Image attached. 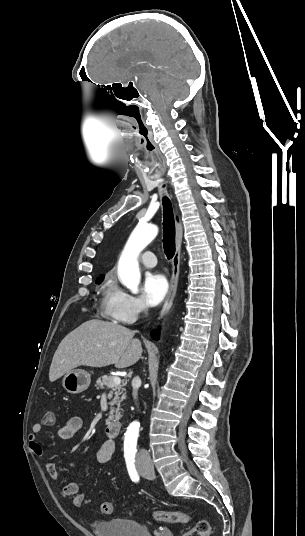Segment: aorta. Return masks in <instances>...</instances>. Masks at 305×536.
I'll return each mask as SVG.
<instances>
[{
	"label": "aorta",
	"mask_w": 305,
	"mask_h": 536,
	"mask_svg": "<svg viewBox=\"0 0 305 536\" xmlns=\"http://www.w3.org/2000/svg\"><path fill=\"white\" fill-rule=\"evenodd\" d=\"M158 227L153 224H139L130 235L118 262V276L121 283L132 293H138L140 270L138 256L154 240ZM133 426H138L133 423Z\"/></svg>",
	"instance_id": "1"
}]
</instances>
